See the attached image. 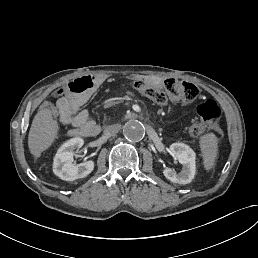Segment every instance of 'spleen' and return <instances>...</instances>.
Listing matches in <instances>:
<instances>
[{
	"label": "spleen",
	"mask_w": 258,
	"mask_h": 258,
	"mask_svg": "<svg viewBox=\"0 0 258 258\" xmlns=\"http://www.w3.org/2000/svg\"><path fill=\"white\" fill-rule=\"evenodd\" d=\"M200 148L203 154L204 167L210 170L214 167L215 158L218 152V139L213 133L200 137Z\"/></svg>",
	"instance_id": "1"
}]
</instances>
